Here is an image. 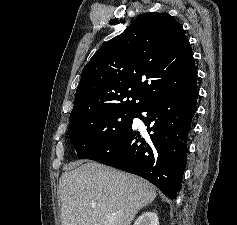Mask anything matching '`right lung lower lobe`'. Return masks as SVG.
Wrapping results in <instances>:
<instances>
[{
  "label": "right lung lower lobe",
  "instance_id": "98d812e1",
  "mask_svg": "<svg viewBox=\"0 0 237 225\" xmlns=\"http://www.w3.org/2000/svg\"><path fill=\"white\" fill-rule=\"evenodd\" d=\"M196 85L157 93L134 116L143 121L147 135L134 130L131 124L110 144L86 158L141 176L175 199L187 162V137L199 95Z\"/></svg>",
  "mask_w": 237,
  "mask_h": 225
}]
</instances>
